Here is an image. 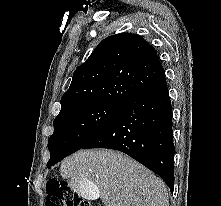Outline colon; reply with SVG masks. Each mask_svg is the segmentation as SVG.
<instances>
[{"label":"colon","mask_w":221,"mask_h":206,"mask_svg":"<svg viewBox=\"0 0 221 206\" xmlns=\"http://www.w3.org/2000/svg\"><path fill=\"white\" fill-rule=\"evenodd\" d=\"M45 206H95L78 194L63 180H49L46 183Z\"/></svg>","instance_id":"5ec220e1"}]
</instances>
